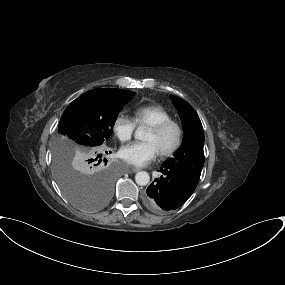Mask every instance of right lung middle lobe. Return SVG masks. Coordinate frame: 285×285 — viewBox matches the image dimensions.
I'll list each match as a JSON object with an SVG mask.
<instances>
[{
	"label": "right lung middle lobe",
	"instance_id": "obj_1",
	"mask_svg": "<svg viewBox=\"0 0 285 285\" xmlns=\"http://www.w3.org/2000/svg\"><path fill=\"white\" fill-rule=\"evenodd\" d=\"M133 95L127 90L93 89L63 112L53 149L54 174L64 195L83 210L97 211L111 198V167L100 172H90L88 167L101 159L99 153L105 149L118 113Z\"/></svg>",
	"mask_w": 285,
	"mask_h": 285
}]
</instances>
